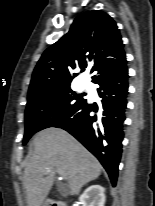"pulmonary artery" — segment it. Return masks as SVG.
Returning a JSON list of instances; mask_svg holds the SVG:
<instances>
[{
  "mask_svg": "<svg viewBox=\"0 0 155 206\" xmlns=\"http://www.w3.org/2000/svg\"><path fill=\"white\" fill-rule=\"evenodd\" d=\"M82 86L83 87H88L89 86V82L87 80L82 81Z\"/></svg>",
  "mask_w": 155,
  "mask_h": 206,
  "instance_id": "e3ab8cb5",
  "label": "pulmonary artery"
}]
</instances>
